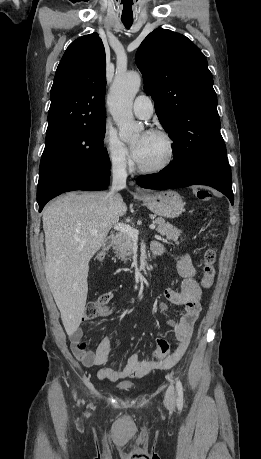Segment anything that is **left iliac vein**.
<instances>
[{
    "label": "left iliac vein",
    "mask_w": 261,
    "mask_h": 459,
    "mask_svg": "<svg viewBox=\"0 0 261 459\" xmlns=\"http://www.w3.org/2000/svg\"><path fill=\"white\" fill-rule=\"evenodd\" d=\"M165 405L172 409L175 405L174 387L170 386L165 395Z\"/></svg>",
    "instance_id": "left-iliac-vein-1"
}]
</instances>
